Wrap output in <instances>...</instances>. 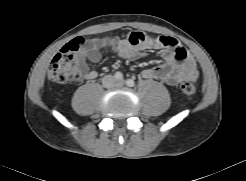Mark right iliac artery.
I'll return each instance as SVG.
<instances>
[{
  "label": "right iliac artery",
  "instance_id": "obj_1",
  "mask_svg": "<svg viewBox=\"0 0 246 181\" xmlns=\"http://www.w3.org/2000/svg\"><path fill=\"white\" fill-rule=\"evenodd\" d=\"M115 78H116L117 80H122V79H123V74H122L121 72H116V73H115Z\"/></svg>",
  "mask_w": 246,
  "mask_h": 181
}]
</instances>
